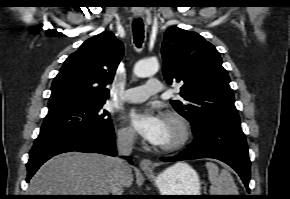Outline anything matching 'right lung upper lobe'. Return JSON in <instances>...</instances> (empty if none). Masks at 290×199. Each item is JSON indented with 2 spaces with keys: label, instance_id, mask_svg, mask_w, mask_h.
Listing matches in <instances>:
<instances>
[{
  "label": "right lung upper lobe",
  "instance_id": "right-lung-upper-lobe-1",
  "mask_svg": "<svg viewBox=\"0 0 290 199\" xmlns=\"http://www.w3.org/2000/svg\"><path fill=\"white\" fill-rule=\"evenodd\" d=\"M123 44L111 32L86 40L64 62L54 78L49 112L104 102L109 97L106 85L112 83L123 56Z\"/></svg>",
  "mask_w": 290,
  "mask_h": 199
}]
</instances>
